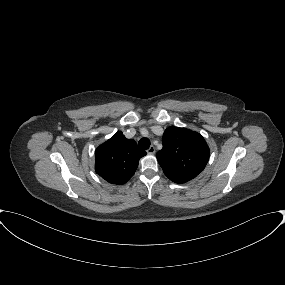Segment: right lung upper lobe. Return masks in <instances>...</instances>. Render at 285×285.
<instances>
[{"instance_id":"obj_1","label":"right lung upper lobe","mask_w":285,"mask_h":285,"mask_svg":"<svg viewBox=\"0 0 285 285\" xmlns=\"http://www.w3.org/2000/svg\"><path fill=\"white\" fill-rule=\"evenodd\" d=\"M145 155L133 139L118 131L96 149L95 170L107 182L121 185L133 176L139 159Z\"/></svg>"}]
</instances>
